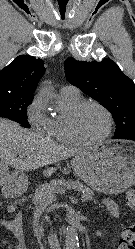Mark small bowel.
<instances>
[{"label": "small bowel", "mask_w": 135, "mask_h": 249, "mask_svg": "<svg viewBox=\"0 0 135 249\" xmlns=\"http://www.w3.org/2000/svg\"><path fill=\"white\" fill-rule=\"evenodd\" d=\"M1 205L2 202L0 201V206ZM104 206L110 217L113 218L118 215V208L111 200H105ZM7 211L9 213L16 212V206L14 204H9L7 206ZM0 224L4 227H7L15 236V238L18 240V244L15 246V249H26L23 243V238H24L22 230L23 215L21 212H18L15 218L11 221L0 220Z\"/></svg>", "instance_id": "1"}]
</instances>
